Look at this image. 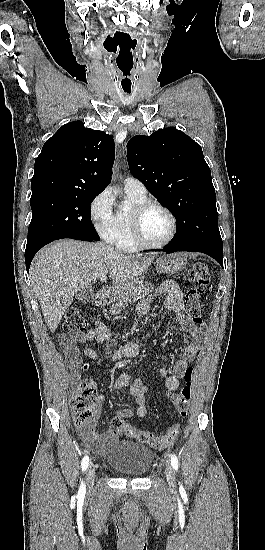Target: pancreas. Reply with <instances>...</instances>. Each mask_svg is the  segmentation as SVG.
<instances>
[{"mask_svg":"<svg viewBox=\"0 0 265 550\" xmlns=\"http://www.w3.org/2000/svg\"><path fill=\"white\" fill-rule=\"evenodd\" d=\"M152 291L150 284L144 283L142 281L137 282L134 286L127 289V291L121 294L117 299L115 305L111 307L110 313L118 314L120 313L131 299L137 300L144 298Z\"/></svg>","mask_w":265,"mask_h":550,"instance_id":"pancreas-1","label":"pancreas"}]
</instances>
